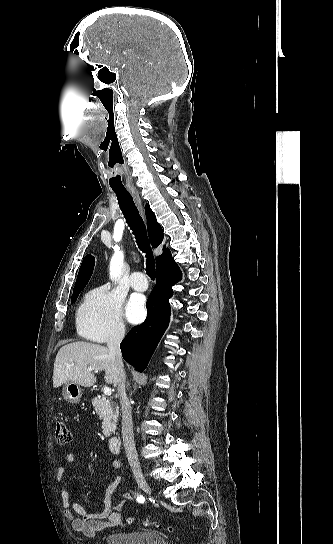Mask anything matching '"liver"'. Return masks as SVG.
Masks as SVG:
<instances>
[{
	"label": "liver",
	"mask_w": 333,
	"mask_h": 544,
	"mask_svg": "<svg viewBox=\"0 0 333 544\" xmlns=\"http://www.w3.org/2000/svg\"><path fill=\"white\" fill-rule=\"evenodd\" d=\"M89 368H92L91 372L88 371ZM100 371L105 372L107 384L117 386V363L108 348L83 341L69 343L62 346L57 353L53 386L58 388L71 381L84 387H91L97 380L95 374Z\"/></svg>",
	"instance_id": "6515ba94"
}]
</instances>
